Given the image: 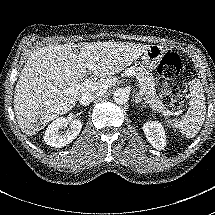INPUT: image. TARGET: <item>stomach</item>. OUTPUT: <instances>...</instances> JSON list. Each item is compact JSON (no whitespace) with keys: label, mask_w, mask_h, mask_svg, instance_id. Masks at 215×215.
<instances>
[{"label":"stomach","mask_w":215,"mask_h":215,"mask_svg":"<svg viewBox=\"0 0 215 215\" xmlns=\"http://www.w3.org/2000/svg\"><path fill=\"white\" fill-rule=\"evenodd\" d=\"M166 54V47L159 44H151L142 54V64L146 68L154 70L159 66Z\"/></svg>","instance_id":"1"}]
</instances>
